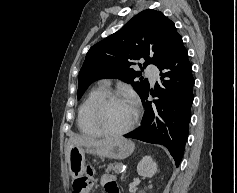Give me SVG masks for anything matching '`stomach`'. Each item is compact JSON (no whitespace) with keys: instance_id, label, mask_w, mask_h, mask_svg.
Listing matches in <instances>:
<instances>
[{"instance_id":"1","label":"stomach","mask_w":237,"mask_h":193,"mask_svg":"<svg viewBox=\"0 0 237 193\" xmlns=\"http://www.w3.org/2000/svg\"><path fill=\"white\" fill-rule=\"evenodd\" d=\"M134 148V143L123 137L113 138L108 143L97 147L72 146L69 150L70 173L75 179L86 172L85 153L121 160L132 154Z\"/></svg>"}]
</instances>
